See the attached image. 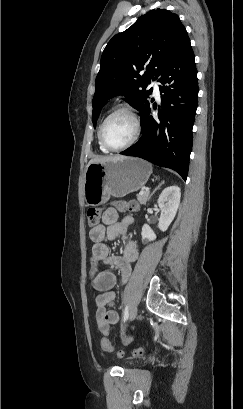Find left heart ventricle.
<instances>
[{"instance_id":"b2bd125f","label":"left heart ventricle","mask_w":243,"mask_h":409,"mask_svg":"<svg viewBox=\"0 0 243 409\" xmlns=\"http://www.w3.org/2000/svg\"><path fill=\"white\" fill-rule=\"evenodd\" d=\"M134 135V122L126 113H120L108 120L104 127L106 141L113 147L126 144Z\"/></svg>"}]
</instances>
